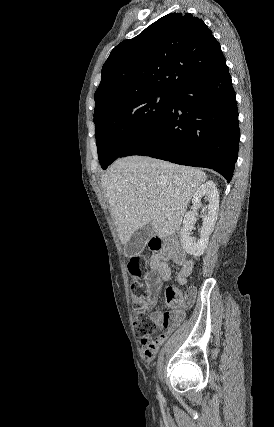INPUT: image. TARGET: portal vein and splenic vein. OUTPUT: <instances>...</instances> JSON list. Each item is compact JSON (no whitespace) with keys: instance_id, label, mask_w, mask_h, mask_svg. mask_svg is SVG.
I'll return each instance as SVG.
<instances>
[{"instance_id":"portal-vein-and-splenic-vein-1","label":"portal vein and splenic vein","mask_w":274,"mask_h":427,"mask_svg":"<svg viewBox=\"0 0 274 427\" xmlns=\"http://www.w3.org/2000/svg\"><path fill=\"white\" fill-rule=\"evenodd\" d=\"M154 204H156V206H160V204H158V202H154Z\"/></svg>"}]
</instances>
